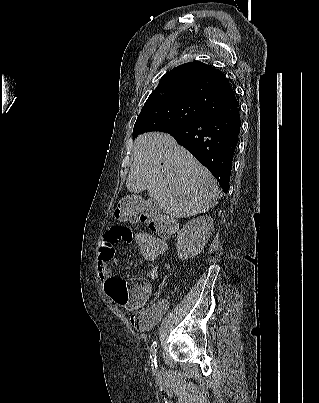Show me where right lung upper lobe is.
<instances>
[{
    "instance_id": "right-lung-upper-lobe-1",
    "label": "right lung upper lobe",
    "mask_w": 319,
    "mask_h": 403,
    "mask_svg": "<svg viewBox=\"0 0 319 403\" xmlns=\"http://www.w3.org/2000/svg\"><path fill=\"white\" fill-rule=\"evenodd\" d=\"M160 103H193L210 112L238 106L222 72L199 61L179 65L167 72L144 107Z\"/></svg>"
}]
</instances>
